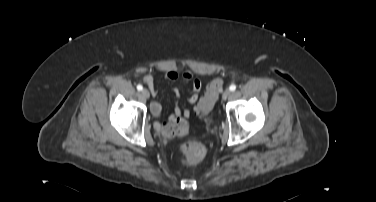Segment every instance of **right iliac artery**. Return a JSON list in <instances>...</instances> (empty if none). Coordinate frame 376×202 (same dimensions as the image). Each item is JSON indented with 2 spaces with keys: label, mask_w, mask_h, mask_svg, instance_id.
Segmentation results:
<instances>
[{
  "label": "right iliac artery",
  "mask_w": 376,
  "mask_h": 202,
  "mask_svg": "<svg viewBox=\"0 0 376 202\" xmlns=\"http://www.w3.org/2000/svg\"><path fill=\"white\" fill-rule=\"evenodd\" d=\"M142 89H143L142 85H140V84L137 85V90H138V91H141Z\"/></svg>",
  "instance_id": "1"
}]
</instances>
